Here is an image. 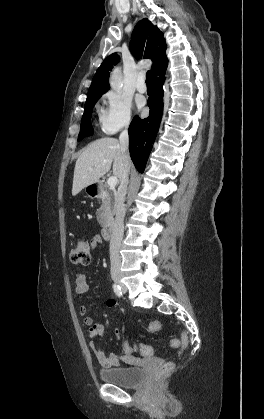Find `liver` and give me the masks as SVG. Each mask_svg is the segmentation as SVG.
<instances>
[{"mask_svg": "<svg viewBox=\"0 0 264 419\" xmlns=\"http://www.w3.org/2000/svg\"><path fill=\"white\" fill-rule=\"evenodd\" d=\"M112 163L113 175L121 180L124 161L118 140L101 138L92 142L76 161L72 195L76 196L83 188L98 182L110 170Z\"/></svg>", "mask_w": 264, "mask_h": 419, "instance_id": "obj_1", "label": "liver"}]
</instances>
